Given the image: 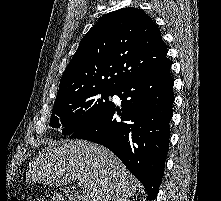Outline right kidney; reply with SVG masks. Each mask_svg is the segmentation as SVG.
Masks as SVG:
<instances>
[{
    "label": "right kidney",
    "mask_w": 221,
    "mask_h": 201,
    "mask_svg": "<svg viewBox=\"0 0 221 201\" xmlns=\"http://www.w3.org/2000/svg\"><path fill=\"white\" fill-rule=\"evenodd\" d=\"M115 201H130L127 197L117 198Z\"/></svg>",
    "instance_id": "obj_1"
}]
</instances>
